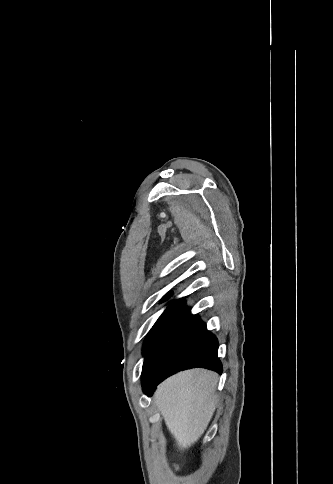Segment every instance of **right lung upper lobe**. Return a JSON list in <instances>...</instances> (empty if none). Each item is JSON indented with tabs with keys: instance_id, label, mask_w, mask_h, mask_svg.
Returning a JSON list of instances; mask_svg holds the SVG:
<instances>
[{
	"instance_id": "obj_1",
	"label": "right lung upper lobe",
	"mask_w": 333,
	"mask_h": 484,
	"mask_svg": "<svg viewBox=\"0 0 333 484\" xmlns=\"http://www.w3.org/2000/svg\"><path fill=\"white\" fill-rule=\"evenodd\" d=\"M168 294H169V293H168ZM168 294H167V295H168ZM167 298H168V296H166V297L163 299V301H164L165 299H167Z\"/></svg>"
}]
</instances>
